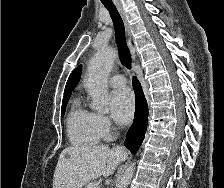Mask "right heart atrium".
Listing matches in <instances>:
<instances>
[{
	"label": "right heart atrium",
	"instance_id": "obj_1",
	"mask_svg": "<svg viewBox=\"0 0 224 188\" xmlns=\"http://www.w3.org/2000/svg\"><path fill=\"white\" fill-rule=\"evenodd\" d=\"M92 119L95 129L102 138H107L112 133V124L110 119L100 113H92Z\"/></svg>",
	"mask_w": 224,
	"mask_h": 188
}]
</instances>
